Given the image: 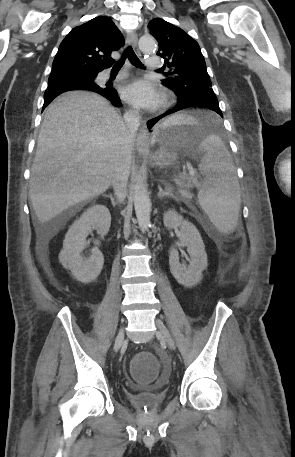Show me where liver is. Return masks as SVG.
<instances>
[{
  "label": "liver",
  "instance_id": "6515ba94",
  "mask_svg": "<svg viewBox=\"0 0 295 457\" xmlns=\"http://www.w3.org/2000/svg\"><path fill=\"white\" fill-rule=\"evenodd\" d=\"M133 138L100 95L72 91L46 111L31 169L29 196L46 223L68 208L104 193L118 159L130 167Z\"/></svg>",
  "mask_w": 295,
  "mask_h": 457
}]
</instances>
